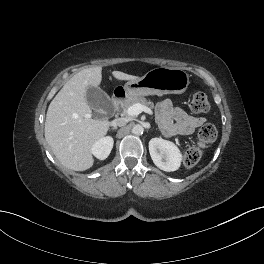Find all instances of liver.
Wrapping results in <instances>:
<instances>
[{"label":"liver","mask_w":264,"mask_h":264,"mask_svg":"<svg viewBox=\"0 0 264 264\" xmlns=\"http://www.w3.org/2000/svg\"><path fill=\"white\" fill-rule=\"evenodd\" d=\"M117 80H136L137 76L113 71ZM102 80L100 66L83 69L68 80L51 101L45 121V138L58 161L75 171H85L94 164L91 148L103 138L110 122L93 119L86 100L88 87H98Z\"/></svg>","instance_id":"1"}]
</instances>
